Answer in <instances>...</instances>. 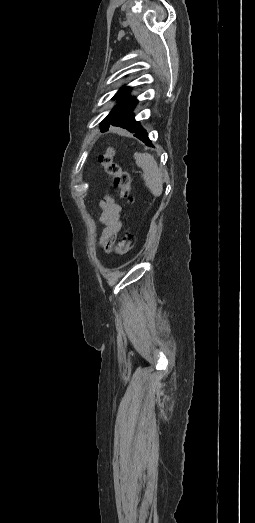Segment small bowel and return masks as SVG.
Returning <instances> with one entry per match:
<instances>
[{
	"label": "small bowel",
	"mask_w": 255,
	"mask_h": 523,
	"mask_svg": "<svg viewBox=\"0 0 255 523\" xmlns=\"http://www.w3.org/2000/svg\"><path fill=\"white\" fill-rule=\"evenodd\" d=\"M99 207V221L104 226L101 234V245L106 252H110L121 229V207L108 196L99 201Z\"/></svg>",
	"instance_id": "c3829d8e"
}]
</instances>
